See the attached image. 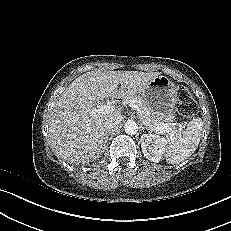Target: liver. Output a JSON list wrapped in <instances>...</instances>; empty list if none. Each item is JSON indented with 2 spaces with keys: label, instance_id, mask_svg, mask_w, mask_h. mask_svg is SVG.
<instances>
[{
  "label": "liver",
  "instance_id": "1",
  "mask_svg": "<svg viewBox=\"0 0 231 231\" xmlns=\"http://www.w3.org/2000/svg\"><path fill=\"white\" fill-rule=\"evenodd\" d=\"M159 72L90 71L75 79L56 101L50 114L49 139L54 153L70 163L97 159L107 136L106 122L122 119L120 109L92 115L104 98L140 95Z\"/></svg>",
  "mask_w": 231,
  "mask_h": 231
}]
</instances>
